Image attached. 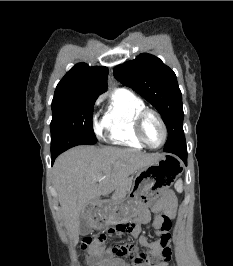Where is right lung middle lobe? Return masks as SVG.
I'll list each match as a JSON object with an SVG mask.
<instances>
[{"label":"right lung middle lobe","instance_id":"1","mask_svg":"<svg viewBox=\"0 0 233 266\" xmlns=\"http://www.w3.org/2000/svg\"><path fill=\"white\" fill-rule=\"evenodd\" d=\"M98 96H79L52 101L51 154L76 145L95 144L92 113Z\"/></svg>","mask_w":233,"mask_h":266}]
</instances>
